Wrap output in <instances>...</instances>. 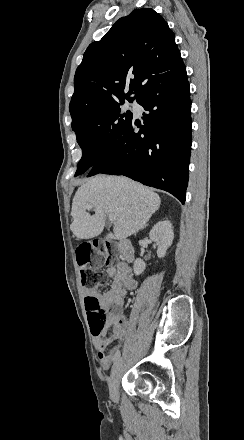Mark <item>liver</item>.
I'll list each match as a JSON object with an SVG mask.
<instances>
[{"mask_svg": "<svg viewBox=\"0 0 244 440\" xmlns=\"http://www.w3.org/2000/svg\"><path fill=\"white\" fill-rule=\"evenodd\" d=\"M161 200L150 188L124 176H94L78 188L72 202L70 226L78 240H89L104 230L106 214H114L113 234L109 240H124L146 226L159 210ZM93 208L90 216L86 210Z\"/></svg>", "mask_w": 244, "mask_h": 440, "instance_id": "6515ba94", "label": "liver"}]
</instances>
